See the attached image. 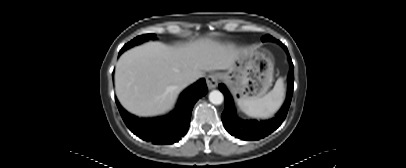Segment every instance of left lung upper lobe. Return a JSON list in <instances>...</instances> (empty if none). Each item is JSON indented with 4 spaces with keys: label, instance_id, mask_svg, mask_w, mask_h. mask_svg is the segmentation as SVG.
Here are the masks:
<instances>
[{
    "label": "left lung upper lobe",
    "instance_id": "1",
    "mask_svg": "<svg viewBox=\"0 0 406 168\" xmlns=\"http://www.w3.org/2000/svg\"><path fill=\"white\" fill-rule=\"evenodd\" d=\"M262 41H263V42H265V41H273V42H277V43L281 44L280 41L276 40L275 38H273V37L270 36V35H265V36H263Z\"/></svg>",
    "mask_w": 406,
    "mask_h": 168
}]
</instances>
